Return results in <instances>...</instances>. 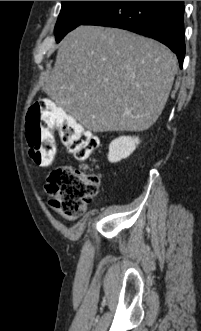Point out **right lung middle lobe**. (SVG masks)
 Masks as SVG:
<instances>
[{"label":"right lung middle lobe","instance_id":"right-lung-middle-lobe-1","mask_svg":"<svg viewBox=\"0 0 201 331\" xmlns=\"http://www.w3.org/2000/svg\"><path fill=\"white\" fill-rule=\"evenodd\" d=\"M110 1H62V9L56 26V42L68 32L83 24Z\"/></svg>","mask_w":201,"mask_h":331}]
</instances>
